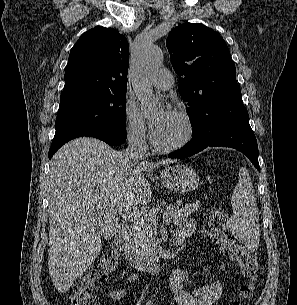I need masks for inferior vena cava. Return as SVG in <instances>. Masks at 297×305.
Masks as SVG:
<instances>
[{"label": "inferior vena cava", "mask_w": 297, "mask_h": 305, "mask_svg": "<svg viewBox=\"0 0 297 305\" xmlns=\"http://www.w3.org/2000/svg\"><path fill=\"white\" fill-rule=\"evenodd\" d=\"M128 139L127 157L133 162H139L144 159L146 154L145 130L143 128L131 130Z\"/></svg>", "instance_id": "inferior-vena-cava-1"}]
</instances>
